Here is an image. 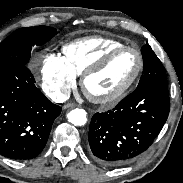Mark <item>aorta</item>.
Listing matches in <instances>:
<instances>
[{"mask_svg":"<svg viewBox=\"0 0 183 183\" xmlns=\"http://www.w3.org/2000/svg\"><path fill=\"white\" fill-rule=\"evenodd\" d=\"M86 114L84 109L75 108L67 114V118L73 125L83 126L87 122Z\"/></svg>","mask_w":183,"mask_h":183,"instance_id":"1","label":"aorta"}]
</instances>
